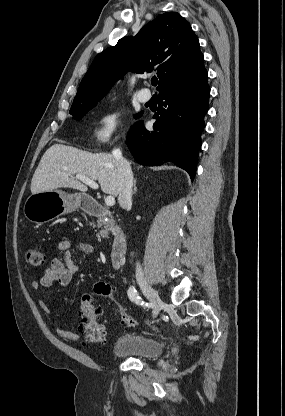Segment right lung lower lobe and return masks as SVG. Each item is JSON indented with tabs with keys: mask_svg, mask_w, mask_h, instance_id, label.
<instances>
[{
	"mask_svg": "<svg viewBox=\"0 0 285 416\" xmlns=\"http://www.w3.org/2000/svg\"><path fill=\"white\" fill-rule=\"evenodd\" d=\"M207 79L206 72L159 93L161 105L153 116L157 119L153 130H146L143 122L138 121L128 132L130 151L138 163L156 166L173 162L186 170L193 181L204 116L209 108Z\"/></svg>",
	"mask_w": 285,
	"mask_h": 416,
	"instance_id": "1",
	"label": "right lung lower lobe"
}]
</instances>
